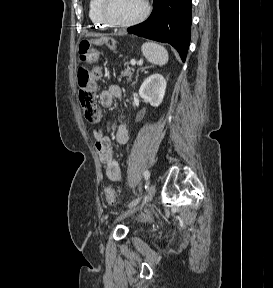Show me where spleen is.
<instances>
[{"label":"spleen","instance_id":"spleen-1","mask_svg":"<svg viewBox=\"0 0 273 288\" xmlns=\"http://www.w3.org/2000/svg\"><path fill=\"white\" fill-rule=\"evenodd\" d=\"M142 53L148 61L155 65L163 66L168 61V53L166 49L157 43H144L142 45Z\"/></svg>","mask_w":273,"mask_h":288}]
</instances>
